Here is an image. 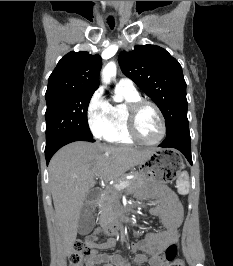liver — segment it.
<instances>
[{
	"label": "liver",
	"instance_id": "6515ba94",
	"mask_svg": "<svg viewBox=\"0 0 233 266\" xmlns=\"http://www.w3.org/2000/svg\"><path fill=\"white\" fill-rule=\"evenodd\" d=\"M152 150L77 141L60 149L49 164L52 198L60 231L63 255L73 249L80 211L94 177L119 180L126 171L144 162Z\"/></svg>",
	"mask_w": 233,
	"mask_h": 266
}]
</instances>
